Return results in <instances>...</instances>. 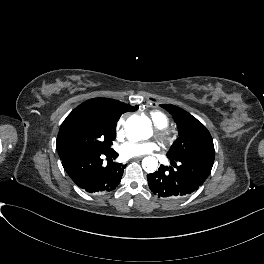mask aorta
<instances>
[{
  "label": "aorta",
  "mask_w": 264,
  "mask_h": 264,
  "mask_svg": "<svg viewBox=\"0 0 264 264\" xmlns=\"http://www.w3.org/2000/svg\"><path fill=\"white\" fill-rule=\"evenodd\" d=\"M125 129L131 138L146 140L151 136L149 121L142 116H132L127 119ZM142 165L147 171H153L157 167V161L154 157H145Z\"/></svg>",
  "instance_id": "762f6f07"
}]
</instances>
